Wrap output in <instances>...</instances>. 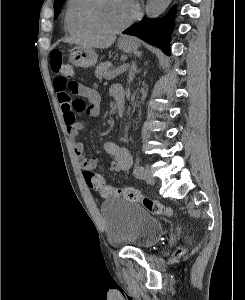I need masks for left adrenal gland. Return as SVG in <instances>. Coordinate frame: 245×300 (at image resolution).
<instances>
[{"label":"left adrenal gland","instance_id":"obj_1","mask_svg":"<svg viewBox=\"0 0 245 300\" xmlns=\"http://www.w3.org/2000/svg\"><path fill=\"white\" fill-rule=\"evenodd\" d=\"M138 72L139 70H137L136 62H133L129 70V83L133 81V79L135 78V74Z\"/></svg>","mask_w":245,"mask_h":300}]
</instances>
